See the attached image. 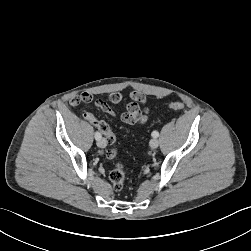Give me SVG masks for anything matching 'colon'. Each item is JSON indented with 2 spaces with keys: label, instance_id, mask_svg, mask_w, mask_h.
I'll list each match as a JSON object with an SVG mask.
<instances>
[{
  "label": "colon",
  "instance_id": "obj_1",
  "mask_svg": "<svg viewBox=\"0 0 251 251\" xmlns=\"http://www.w3.org/2000/svg\"><path fill=\"white\" fill-rule=\"evenodd\" d=\"M169 108L174 111H179L184 108V104L179 101H174L169 104ZM83 118L95 126L98 130H100L109 145L105 152V156L109 160H113L117 156V150L114 147L116 142V136L114 132L110 129L107 123L104 121H100L95 117V115L90 111H85L83 113ZM109 179L112 183L113 188L116 191H120L124 187L125 182V172H124V165L120 162L116 163L114 168L111 170L109 174Z\"/></svg>",
  "mask_w": 251,
  "mask_h": 251
}]
</instances>
